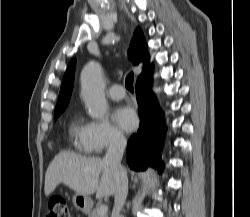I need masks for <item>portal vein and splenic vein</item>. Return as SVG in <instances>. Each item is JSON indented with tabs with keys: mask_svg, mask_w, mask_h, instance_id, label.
Masks as SVG:
<instances>
[{
	"mask_svg": "<svg viewBox=\"0 0 250 217\" xmlns=\"http://www.w3.org/2000/svg\"><path fill=\"white\" fill-rule=\"evenodd\" d=\"M108 211V206L107 205H101L98 209V214H105Z\"/></svg>",
	"mask_w": 250,
	"mask_h": 217,
	"instance_id": "portal-vein-and-splenic-vein-1",
	"label": "portal vein and splenic vein"
}]
</instances>
